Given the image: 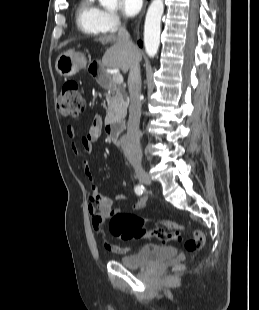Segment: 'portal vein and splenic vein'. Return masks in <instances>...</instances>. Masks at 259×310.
<instances>
[{
	"instance_id": "1",
	"label": "portal vein and splenic vein",
	"mask_w": 259,
	"mask_h": 310,
	"mask_svg": "<svg viewBox=\"0 0 259 310\" xmlns=\"http://www.w3.org/2000/svg\"><path fill=\"white\" fill-rule=\"evenodd\" d=\"M113 81L116 83V84H122L123 83V76L120 74V73H115L113 75Z\"/></svg>"
}]
</instances>
